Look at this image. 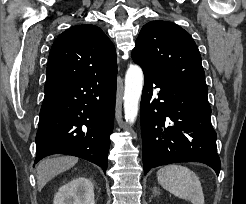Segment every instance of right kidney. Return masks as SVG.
<instances>
[{
    "label": "right kidney",
    "instance_id": "1",
    "mask_svg": "<svg viewBox=\"0 0 246 204\" xmlns=\"http://www.w3.org/2000/svg\"><path fill=\"white\" fill-rule=\"evenodd\" d=\"M53 204H95L93 183L84 177L72 179L59 188Z\"/></svg>",
    "mask_w": 246,
    "mask_h": 204
}]
</instances>
